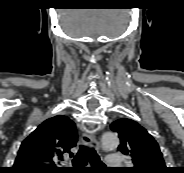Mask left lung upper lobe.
Returning a JSON list of instances; mask_svg holds the SVG:
<instances>
[{"mask_svg":"<svg viewBox=\"0 0 184 173\" xmlns=\"http://www.w3.org/2000/svg\"><path fill=\"white\" fill-rule=\"evenodd\" d=\"M118 133V150L132 158L133 167L123 168V173H167L163 155L154 138L137 122L118 119L110 125Z\"/></svg>","mask_w":184,"mask_h":173,"instance_id":"1","label":"left lung upper lobe"}]
</instances>
